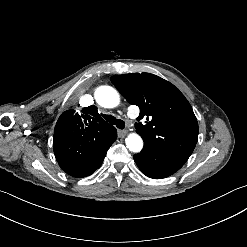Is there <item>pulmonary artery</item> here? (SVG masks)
Instances as JSON below:
<instances>
[{
	"instance_id": "obj_1",
	"label": "pulmonary artery",
	"mask_w": 247,
	"mask_h": 247,
	"mask_svg": "<svg viewBox=\"0 0 247 247\" xmlns=\"http://www.w3.org/2000/svg\"><path fill=\"white\" fill-rule=\"evenodd\" d=\"M132 121H133L134 123H136V124H138V123H139L138 121H136V120H134V119H133Z\"/></svg>"
}]
</instances>
